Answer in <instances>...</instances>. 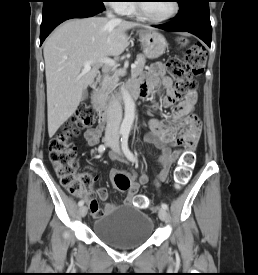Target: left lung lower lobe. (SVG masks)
<instances>
[{
    "instance_id": "0a47b994",
    "label": "left lung lower lobe",
    "mask_w": 258,
    "mask_h": 275,
    "mask_svg": "<svg viewBox=\"0 0 258 275\" xmlns=\"http://www.w3.org/2000/svg\"><path fill=\"white\" fill-rule=\"evenodd\" d=\"M208 2L209 0H180V11L173 21L155 27L168 31H187L210 46L212 27Z\"/></svg>"
}]
</instances>
